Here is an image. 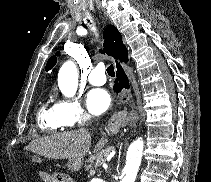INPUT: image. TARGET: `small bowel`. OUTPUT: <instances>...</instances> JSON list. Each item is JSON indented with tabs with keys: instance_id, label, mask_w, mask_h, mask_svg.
Returning a JSON list of instances; mask_svg holds the SVG:
<instances>
[{
	"instance_id": "c3829d8e",
	"label": "small bowel",
	"mask_w": 211,
	"mask_h": 182,
	"mask_svg": "<svg viewBox=\"0 0 211 182\" xmlns=\"http://www.w3.org/2000/svg\"><path fill=\"white\" fill-rule=\"evenodd\" d=\"M45 175H46V172H44V173H42V179L46 182L47 180L45 179ZM68 182H72L70 179H69V181Z\"/></svg>"
}]
</instances>
